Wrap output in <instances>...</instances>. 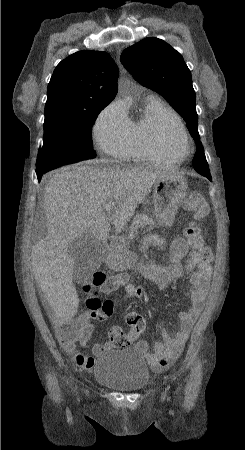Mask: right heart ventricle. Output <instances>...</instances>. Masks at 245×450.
<instances>
[{"label":"right heart ventricle","mask_w":245,"mask_h":450,"mask_svg":"<svg viewBox=\"0 0 245 450\" xmlns=\"http://www.w3.org/2000/svg\"><path fill=\"white\" fill-rule=\"evenodd\" d=\"M164 118H174L182 124L178 114L160 97L154 94L146 95L141 114L135 120L130 119L131 145L128 157H131L132 161L170 163L176 160L154 144L155 128Z\"/></svg>","instance_id":"e07e8e85"}]
</instances>
